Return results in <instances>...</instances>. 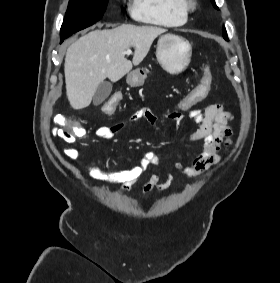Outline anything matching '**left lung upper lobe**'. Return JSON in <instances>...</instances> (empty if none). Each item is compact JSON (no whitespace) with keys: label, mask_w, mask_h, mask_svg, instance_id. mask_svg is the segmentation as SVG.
Instances as JSON below:
<instances>
[{"label":"left lung upper lobe","mask_w":280,"mask_h":283,"mask_svg":"<svg viewBox=\"0 0 280 283\" xmlns=\"http://www.w3.org/2000/svg\"><path fill=\"white\" fill-rule=\"evenodd\" d=\"M210 1L212 2V5H213L216 9H218V7H217L216 4H215V0H210ZM223 36H224L225 39H227V33H226L225 28H223Z\"/></svg>","instance_id":"5c2ea615"}]
</instances>
